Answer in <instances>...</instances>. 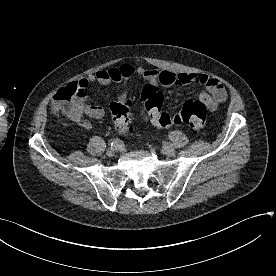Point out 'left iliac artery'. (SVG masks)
I'll list each match as a JSON object with an SVG mask.
<instances>
[{
  "label": "left iliac artery",
  "instance_id": "44dca946",
  "mask_svg": "<svg viewBox=\"0 0 276 276\" xmlns=\"http://www.w3.org/2000/svg\"><path fill=\"white\" fill-rule=\"evenodd\" d=\"M170 148H173V145L171 143L167 142L164 144V149H170Z\"/></svg>",
  "mask_w": 276,
  "mask_h": 276
}]
</instances>
